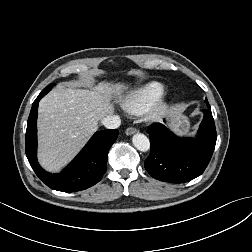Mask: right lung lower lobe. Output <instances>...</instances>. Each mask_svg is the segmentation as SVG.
Masks as SVG:
<instances>
[{
    "instance_id": "1",
    "label": "right lung lower lobe",
    "mask_w": 252,
    "mask_h": 252,
    "mask_svg": "<svg viewBox=\"0 0 252 252\" xmlns=\"http://www.w3.org/2000/svg\"><path fill=\"white\" fill-rule=\"evenodd\" d=\"M46 94L40 93L34 101L27 122L25 148L28 161L36 175L51 189L76 192L98 183L106 171L109 149L118 137V130L96 132L75 159L61 172L51 174L38 164L37 114L38 102Z\"/></svg>"
}]
</instances>
